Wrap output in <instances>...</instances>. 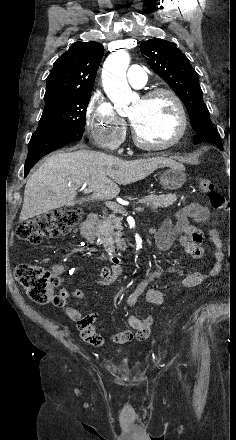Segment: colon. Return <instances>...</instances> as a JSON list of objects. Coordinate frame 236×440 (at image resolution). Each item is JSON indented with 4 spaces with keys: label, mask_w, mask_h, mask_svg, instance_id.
Wrapping results in <instances>:
<instances>
[{
    "label": "colon",
    "mask_w": 236,
    "mask_h": 440,
    "mask_svg": "<svg viewBox=\"0 0 236 440\" xmlns=\"http://www.w3.org/2000/svg\"><path fill=\"white\" fill-rule=\"evenodd\" d=\"M200 192L207 196L212 208L216 211L231 212L232 206L226 197L216 189L212 180L206 176L198 178ZM82 217V210L77 207L57 209L21 223L17 228V236L30 244H39L46 239L72 232ZM18 283L29 297L38 304H54L61 306L62 299L54 293L61 279L58 273L32 263H20L15 269ZM143 324H154V318L147 316ZM150 334V333H149Z\"/></svg>",
    "instance_id": "obj_1"
}]
</instances>
